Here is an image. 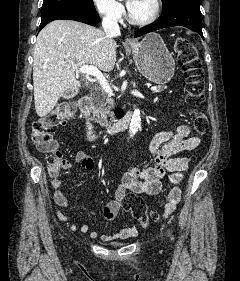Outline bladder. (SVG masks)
I'll return each instance as SVG.
<instances>
[{
	"mask_svg": "<svg viewBox=\"0 0 240 281\" xmlns=\"http://www.w3.org/2000/svg\"><path fill=\"white\" fill-rule=\"evenodd\" d=\"M115 245H122L123 243L122 242H117V243H114Z\"/></svg>",
	"mask_w": 240,
	"mask_h": 281,
	"instance_id": "obj_1",
	"label": "bladder"
}]
</instances>
